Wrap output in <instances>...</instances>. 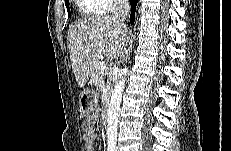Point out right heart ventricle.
Listing matches in <instances>:
<instances>
[{
    "label": "right heart ventricle",
    "mask_w": 231,
    "mask_h": 151,
    "mask_svg": "<svg viewBox=\"0 0 231 151\" xmlns=\"http://www.w3.org/2000/svg\"><path fill=\"white\" fill-rule=\"evenodd\" d=\"M79 8L83 15L90 17L102 14L104 11L103 4L99 0H82L79 1Z\"/></svg>",
    "instance_id": "obj_1"
}]
</instances>
